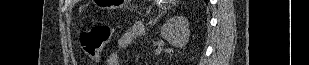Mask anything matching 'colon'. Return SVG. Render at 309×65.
<instances>
[{"instance_id": "5ec220e1", "label": "colon", "mask_w": 309, "mask_h": 65, "mask_svg": "<svg viewBox=\"0 0 309 65\" xmlns=\"http://www.w3.org/2000/svg\"><path fill=\"white\" fill-rule=\"evenodd\" d=\"M115 28L110 25H95L80 33L79 42L86 56L99 61L103 49L112 41Z\"/></svg>"}]
</instances>
